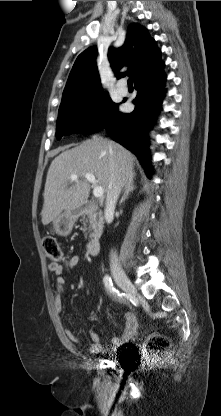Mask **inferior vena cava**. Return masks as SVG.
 Listing matches in <instances>:
<instances>
[{"label":"inferior vena cava","mask_w":221,"mask_h":416,"mask_svg":"<svg viewBox=\"0 0 221 416\" xmlns=\"http://www.w3.org/2000/svg\"><path fill=\"white\" fill-rule=\"evenodd\" d=\"M121 188L120 185L115 181V175L112 174L110 189L107 193L106 202H105V217H113L116 202L120 194ZM110 268L112 271H119L120 265L118 262V256L116 252H111L110 255Z\"/></svg>","instance_id":"inferior-vena-cava-1"}]
</instances>
